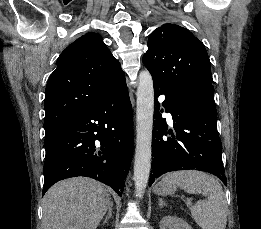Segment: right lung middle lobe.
I'll return each instance as SVG.
<instances>
[{
    "mask_svg": "<svg viewBox=\"0 0 261 229\" xmlns=\"http://www.w3.org/2000/svg\"><path fill=\"white\" fill-rule=\"evenodd\" d=\"M45 131H46L45 136H48V135H50V134H52L54 132L53 130H45Z\"/></svg>",
    "mask_w": 261,
    "mask_h": 229,
    "instance_id": "obj_1",
    "label": "right lung middle lobe"
}]
</instances>
